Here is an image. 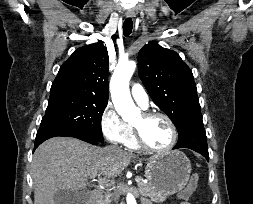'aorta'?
Segmentation results:
<instances>
[{
	"mask_svg": "<svg viewBox=\"0 0 253 204\" xmlns=\"http://www.w3.org/2000/svg\"><path fill=\"white\" fill-rule=\"evenodd\" d=\"M135 69L136 63L134 61L120 62L110 81L114 107L124 121H132L140 115V110L135 106L129 91V81ZM126 201L127 204H136L135 197L130 193L127 194Z\"/></svg>",
	"mask_w": 253,
	"mask_h": 204,
	"instance_id": "obj_1",
	"label": "aorta"
}]
</instances>
